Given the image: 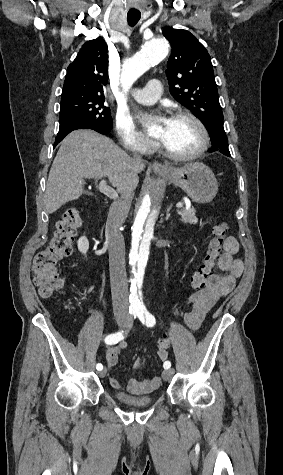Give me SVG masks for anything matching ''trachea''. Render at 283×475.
<instances>
[{"instance_id": "1", "label": "trachea", "mask_w": 283, "mask_h": 475, "mask_svg": "<svg viewBox=\"0 0 283 475\" xmlns=\"http://www.w3.org/2000/svg\"><path fill=\"white\" fill-rule=\"evenodd\" d=\"M140 18H141V13L139 11L128 12L127 14V20L131 27H134V25H136V23L140 20Z\"/></svg>"}]
</instances>
